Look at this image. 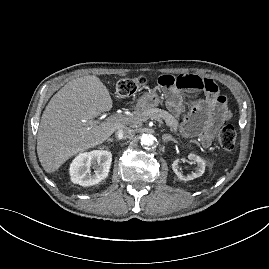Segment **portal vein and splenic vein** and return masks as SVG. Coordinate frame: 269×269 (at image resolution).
<instances>
[{
    "label": "portal vein and splenic vein",
    "mask_w": 269,
    "mask_h": 269,
    "mask_svg": "<svg viewBox=\"0 0 269 269\" xmlns=\"http://www.w3.org/2000/svg\"><path fill=\"white\" fill-rule=\"evenodd\" d=\"M108 120L110 121H116V122H124V123H134L136 122L135 118H128L124 115H120V114H115V115H111Z\"/></svg>",
    "instance_id": "portal-vein-and-splenic-vein-1"
}]
</instances>
